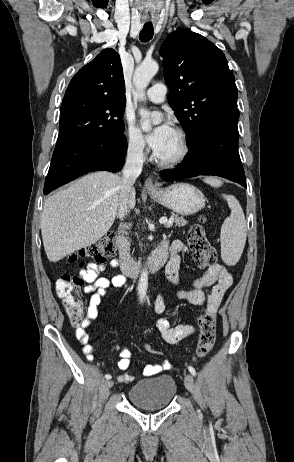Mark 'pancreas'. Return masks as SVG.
<instances>
[{
	"mask_svg": "<svg viewBox=\"0 0 294 462\" xmlns=\"http://www.w3.org/2000/svg\"><path fill=\"white\" fill-rule=\"evenodd\" d=\"M186 223H187V221L183 217H180L178 215H173L172 222L166 224L165 226L166 227H171V226H173V224H175L176 226L180 227V226H185Z\"/></svg>",
	"mask_w": 294,
	"mask_h": 462,
	"instance_id": "1",
	"label": "pancreas"
}]
</instances>
